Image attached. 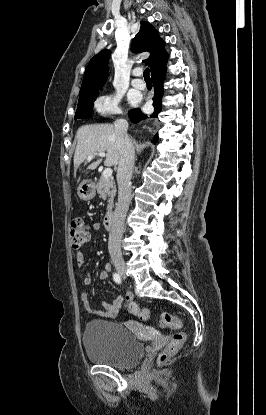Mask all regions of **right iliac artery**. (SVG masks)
Instances as JSON below:
<instances>
[{
  "label": "right iliac artery",
  "instance_id": "obj_1",
  "mask_svg": "<svg viewBox=\"0 0 266 415\" xmlns=\"http://www.w3.org/2000/svg\"><path fill=\"white\" fill-rule=\"evenodd\" d=\"M113 279H114V281H115L117 284H120V283H121V277H120V275H119L118 273H114V274H113Z\"/></svg>",
  "mask_w": 266,
  "mask_h": 415
}]
</instances>
